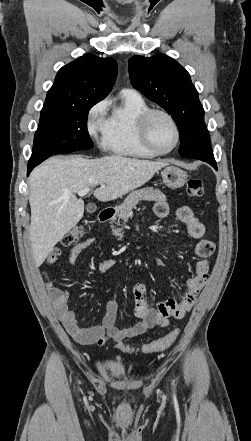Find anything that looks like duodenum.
Segmentation results:
<instances>
[{
    "mask_svg": "<svg viewBox=\"0 0 251 441\" xmlns=\"http://www.w3.org/2000/svg\"><path fill=\"white\" fill-rule=\"evenodd\" d=\"M115 213H116L115 208H106V209H103V210L99 213V216H98L99 222H101V223H105V222L111 220V219L114 217Z\"/></svg>",
    "mask_w": 251,
    "mask_h": 441,
    "instance_id": "obj_1",
    "label": "duodenum"
}]
</instances>
